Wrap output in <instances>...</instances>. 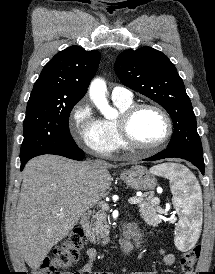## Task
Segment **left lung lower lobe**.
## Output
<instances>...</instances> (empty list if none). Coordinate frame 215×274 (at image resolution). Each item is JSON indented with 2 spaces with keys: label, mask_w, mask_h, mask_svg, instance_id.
<instances>
[{
  "label": "left lung lower lobe",
  "mask_w": 215,
  "mask_h": 274,
  "mask_svg": "<svg viewBox=\"0 0 215 274\" xmlns=\"http://www.w3.org/2000/svg\"><path fill=\"white\" fill-rule=\"evenodd\" d=\"M181 158L191 162L195 165L201 173L204 175V160H203V152H194L189 150H180V149H173L167 148L162 152L157 153L156 155L149 157L145 160H160L164 158Z\"/></svg>",
  "instance_id": "left-lung-lower-lobe-1"
}]
</instances>
